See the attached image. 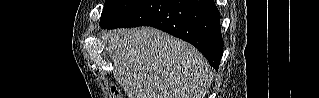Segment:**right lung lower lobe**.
<instances>
[{"label": "right lung lower lobe", "instance_id": "right-lung-lower-lobe-1", "mask_svg": "<svg viewBox=\"0 0 319 98\" xmlns=\"http://www.w3.org/2000/svg\"><path fill=\"white\" fill-rule=\"evenodd\" d=\"M152 26L193 44L218 69L223 54L214 0H147L107 29Z\"/></svg>", "mask_w": 319, "mask_h": 98}]
</instances>
